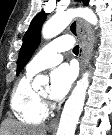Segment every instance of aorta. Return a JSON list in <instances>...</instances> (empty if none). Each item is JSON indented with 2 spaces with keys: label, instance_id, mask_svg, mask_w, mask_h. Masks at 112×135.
<instances>
[{
  "label": "aorta",
  "instance_id": "1",
  "mask_svg": "<svg viewBox=\"0 0 112 135\" xmlns=\"http://www.w3.org/2000/svg\"><path fill=\"white\" fill-rule=\"evenodd\" d=\"M74 17H81L89 23L96 25L97 17L89 8H79L76 10H68L63 13H56L52 16L42 28V36L50 39L60 34L72 21ZM89 73L83 74V77L77 82L71 95L66 101L57 130L56 135H74L79 117L83 110L86 90L89 86ZM48 79L43 75H38L34 80V85L47 84Z\"/></svg>",
  "mask_w": 112,
  "mask_h": 135
}]
</instances>
